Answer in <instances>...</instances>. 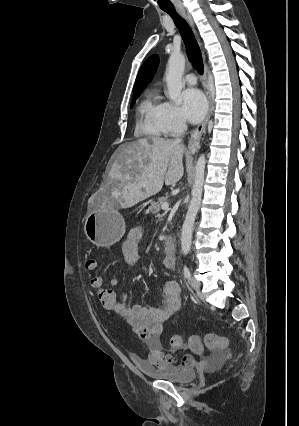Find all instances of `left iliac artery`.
I'll return each mask as SVG.
<instances>
[{
    "instance_id": "left-iliac-artery-1",
    "label": "left iliac artery",
    "mask_w": 299,
    "mask_h": 426,
    "mask_svg": "<svg viewBox=\"0 0 299 426\" xmlns=\"http://www.w3.org/2000/svg\"><path fill=\"white\" fill-rule=\"evenodd\" d=\"M183 272H184V277L186 279L190 280L191 274H190V271H189V269H188V267L186 265H184Z\"/></svg>"
}]
</instances>
